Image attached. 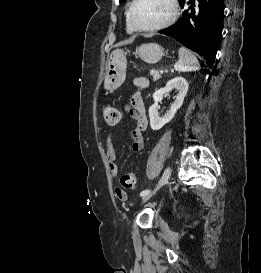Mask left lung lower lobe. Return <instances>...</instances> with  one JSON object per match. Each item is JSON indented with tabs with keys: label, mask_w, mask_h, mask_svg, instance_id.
<instances>
[{
	"label": "left lung lower lobe",
	"mask_w": 261,
	"mask_h": 273,
	"mask_svg": "<svg viewBox=\"0 0 261 273\" xmlns=\"http://www.w3.org/2000/svg\"><path fill=\"white\" fill-rule=\"evenodd\" d=\"M182 8L189 4L177 23L159 31L199 53L212 68L222 32L223 0H179Z\"/></svg>",
	"instance_id": "left-lung-lower-lobe-1"
}]
</instances>
